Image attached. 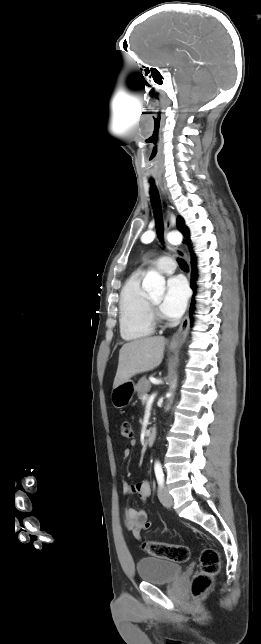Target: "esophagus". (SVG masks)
<instances>
[{
    "label": "esophagus",
    "mask_w": 261,
    "mask_h": 644,
    "mask_svg": "<svg viewBox=\"0 0 261 644\" xmlns=\"http://www.w3.org/2000/svg\"><path fill=\"white\" fill-rule=\"evenodd\" d=\"M160 187H161L162 192L164 193L163 187L162 186H160ZM171 224L172 223H171L170 212H169L168 216H167V219L165 221V241H166V235L168 234V232H169V230L171 228ZM166 244L171 250H173L178 256L184 258L186 260V262L189 264V257H188V255L186 254V252L183 249H181L179 247L171 246L167 241H166ZM189 324H190V320H189V316H188V313H187L184 316V318H183L178 330L171 337L170 346H180L185 342V340L187 338V335H188Z\"/></svg>",
    "instance_id": "obj_1"
}]
</instances>
